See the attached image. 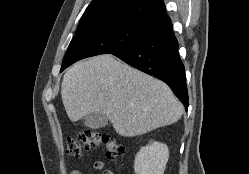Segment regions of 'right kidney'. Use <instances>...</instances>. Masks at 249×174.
<instances>
[{
  "label": "right kidney",
  "mask_w": 249,
  "mask_h": 174,
  "mask_svg": "<svg viewBox=\"0 0 249 174\" xmlns=\"http://www.w3.org/2000/svg\"><path fill=\"white\" fill-rule=\"evenodd\" d=\"M168 157L167 145L154 141L137 153L134 171L136 174H164Z\"/></svg>",
  "instance_id": "right-kidney-1"
}]
</instances>
